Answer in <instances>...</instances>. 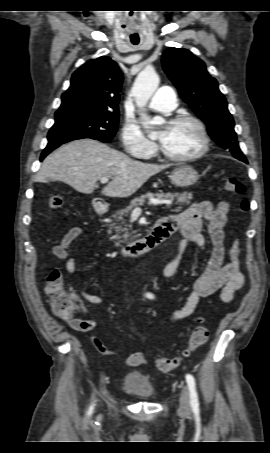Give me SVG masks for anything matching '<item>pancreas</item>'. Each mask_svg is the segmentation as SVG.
Wrapping results in <instances>:
<instances>
[{
	"label": "pancreas",
	"mask_w": 270,
	"mask_h": 453,
	"mask_svg": "<svg viewBox=\"0 0 270 453\" xmlns=\"http://www.w3.org/2000/svg\"><path fill=\"white\" fill-rule=\"evenodd\" d=\"M148 198H156L159 200H170V201L175 200V204L178 205L177 209L181 210L183 205H188L190 203V200L192 199V194L187 192L166 193V194L164 193L153 194L151 192H148L144 195H141L139 198L133 199L130 202L129 206H127L124 209L117 210L111 216L112 220L110 228L114 229L118 233L116 236H114L115 240H120L121 238H123L124 241H126L128 238H130L131 240L134 239L135 236H132L133 232L130 233L128 231L126 220L124 219V217H128L133 208L143 205L145 203V200ZM168 207H170V205H168ZM120 233L123 234L119 235Z\"/></svg>",
	"instance_id": "obj_1"
}]
</instances>
